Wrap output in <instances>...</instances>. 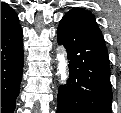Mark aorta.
Returning a JSON list of instances; mask_svg holds the SVG:
<instances>
[{"label":"aorta","mask_w":121,"mask_h":113,"mask_svg":"<svg viewBox=\"0 0 121 113\" xmlns=\"http://www.w3.org/2000/svg\"><path fill=\"white\" fill-rule=\"evenodd\" d=\"M57 60H58V74L61 80L65 81L67 79L68 66L64 50L58 53Z\"/></svg>","instance_id":"obj_1"}]
</instances>
